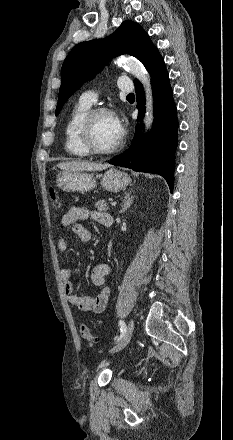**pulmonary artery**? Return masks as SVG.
<instances>
[{"label": "pulmonary artery", "mask_w": 233, "mask_h": 440, "mask_svg": "<svg viewBox=\"0 0 233 440\" xmlns=\"http://www.w3.org/2000/svg\"><path fill=\"white\" fill-rule=\"evenodd\" d=\"M118 87L122 92H132L134 87L127 76H121L119 79ZM80 101L92 105L97 101V94L94 91H88L81 95Z\"/></svg>", "instance_id": "obj_1"}]
</instances>
